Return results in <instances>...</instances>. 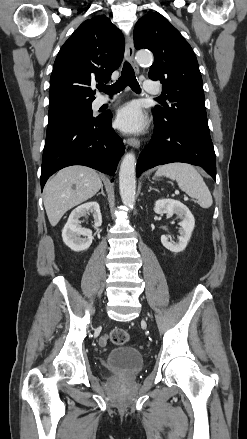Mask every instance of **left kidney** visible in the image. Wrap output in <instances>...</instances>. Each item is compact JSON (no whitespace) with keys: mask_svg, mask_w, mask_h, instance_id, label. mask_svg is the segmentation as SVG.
<instances>
[{"mask_svg":"<svg viewBox=\"0 0 247 439\" xmlns=\"http://www.w3.org/2000/svg\"><path fill=\"white\" fill-rule=\"evenodd\" d=\"M154 212L157 214H176L180 219V236L178 243L169 242L165 235L161 236L162 245L174 253L183 251L192 235V231L195 227V219L187 206L180 201L174 199H159L155 202Z\"/></svg>","mask_w":247,"mask_h":439,"instance_id":"5707ae66","label":"left kidney"}]
</instances>
